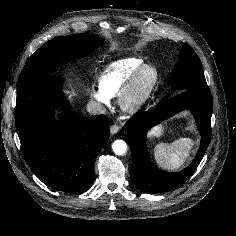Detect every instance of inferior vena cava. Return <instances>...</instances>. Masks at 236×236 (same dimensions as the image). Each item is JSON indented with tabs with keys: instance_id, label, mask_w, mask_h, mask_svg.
<instances>
[{
	"instance_id": "obj_1",
	"label": "inferior vena cava",
	"mask_w": 236,
	"mask_h": 236,
	"mask_svg": "<svg viewBox=\"0 0 236 236\" xmlns=\"http://www.w3.org/2000/svg\"><path fill=\"white\" fill-rule=\"evenodd\" d=\"M86 109L91 115H99L106 113L105 106L102 103L93 100L87 103Z\"/></svg>"
}]
</instances>
